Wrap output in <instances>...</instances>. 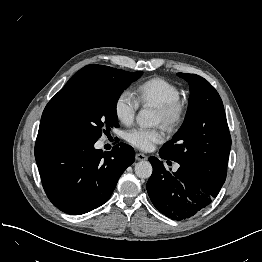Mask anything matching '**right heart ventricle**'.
<instances>
[{"label": "right heart ventricle", "mask_w": 262, "mask_h": 262, "mask_svg": "<svg viewBox=\"0 0 262 262\" xmlns=\"http://www.w3.org/2000/svg\"><path fill=\"white\" fill-rule=\"evenodd\" d=\"M180 95V89L162 77L148 79L140 83L134 91V98L138 104L152 107L177 100Z\"/></svg>", "instance_id": "1"}]
</instances>
